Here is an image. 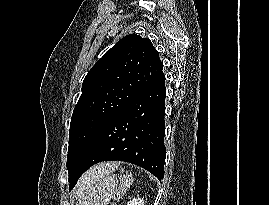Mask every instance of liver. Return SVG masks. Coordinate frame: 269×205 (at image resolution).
Returning <instances> with one entry per match:
<instances>
[{
	"label": "liver",
	"instance_id": "obj_1",
	"mask_svg": "<svg viewBox=\"0 0 269 205\" xmlns=\"http://www.w3.org/2000/svg\"><path fill=\"white\" fill-rule=\"evenodd\" d=\"M117 163H100L86 172L80 179L77 187V195L82 196L98 180L106 174L113 172Z\"/></svg>",
	"mask_w": 269,
	"mask_h": 205
}]
</instances>
